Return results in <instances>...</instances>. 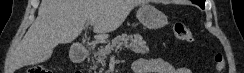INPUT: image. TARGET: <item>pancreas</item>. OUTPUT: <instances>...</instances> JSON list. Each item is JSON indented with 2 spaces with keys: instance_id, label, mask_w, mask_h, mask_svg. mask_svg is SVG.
Segmentation results:
<instances>
[{
  "instance_id": "cf45deb5",
  "label": "pancreas",
  "mask_w": 244,
  "mask_h": 73,
  "mask_svg": "<svg viewBox=\"0 0 244 73\" xmlns=\"http://www.w3.org/2000/svg\"><path fill=\"white\" fill-rule=\"evenodd\" d=\"M123 48L130 49L136 54L145 55L149 52L146 41L140 35H120L108 43L105 47L100 48L94 53L96 64L100 63L102 66L106 64L107 58L112 51L119 53Z\"/></svg>"
}]
</instances>
